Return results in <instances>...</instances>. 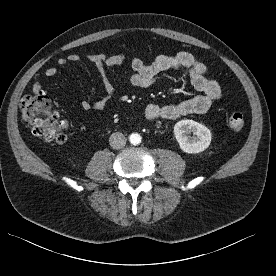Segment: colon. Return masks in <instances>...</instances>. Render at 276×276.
Returning <instances> with one entry per match:
<instances>
[{"label":"colon","mask_w":276,"mask_h":276,"mask_svg":"<svg viewBox=\"0 0 276 276\" xmlns=\"http://www.w3.org/2000/svg\"><path fill=\"white\" fill-rule=\"evenodd\" d=\"M20 111L23 121L35 136L53 144H62L66 141L68 124L53 109L51 98L46 92L25 96ZM244 124L241 113H232L228 118V127L233 131L241 130Z\"/></svg>","instance_id":"5ec220e1"}]
</instances>
